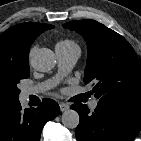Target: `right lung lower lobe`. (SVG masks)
Returning <instances> with one entry per match:
<instances>
[{
	"label": "right lung lower lobe",
	"mask_w": 141,
	"mask_h": 141,
	"mask_svg": "<svg viewBox=\"0 0 141 141\" xmlns=\"http://www.w3.org/2000/svg\"><path fill=\"white\" fill-rule=\"evenodd\" d=\"M59 112V105L51 99L36 102L27 109H22L19 100L1 107L0 141H40L45 123Z\"/></svg>",
	"instance_id": "right-lung-lower-lobe-1"
}]
</instances>
